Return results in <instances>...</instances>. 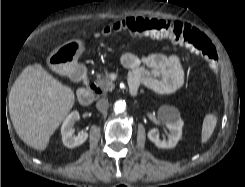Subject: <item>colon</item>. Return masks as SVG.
Listing matches in <instances>:
<instances>
[{"label": "colon", "instance_id": "5ec220e1", "mask_svg": "<svg viewBox=\"0 0 245 187\" xmlns=\"http://www.w3.org/2000/svg\"><path fill=\"white\" fill-rule=\"evenodd\" d=\"M121 32L167 39L199 53L212 69L216 70L218 67L215 46L203 32L190 24L162 18L126 17L105 26L98 35L106 37Z\"/></svg>", "mask_w": 245, "mask_h": 187}]
</instances>
